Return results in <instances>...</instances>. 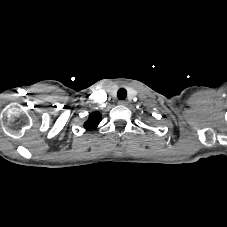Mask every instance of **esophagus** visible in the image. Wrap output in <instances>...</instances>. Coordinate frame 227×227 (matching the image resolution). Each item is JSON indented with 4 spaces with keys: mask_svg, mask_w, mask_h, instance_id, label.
Listing matches in <instances>:
<instances>
[{
    "mask_svg": "<svg viewBox=\"0 0 227 227\" xmlns=\"http://www.w3.org/2000/svg\"><path fill=\"white\" fill-rule=\"evenodd\" d=\"M118 103H119L120 105H126V101H124V100H120Z\"/></svg>",
    "mask_w": 227,
    "mask_h": 227,
    "instance_id": "obj_1",
    "label": "esophagus"
}]
</instances>
